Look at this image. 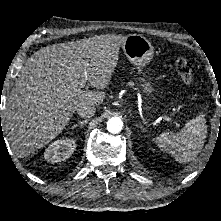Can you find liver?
Here are the masks:
<instances>
[{"instance_id": "6515ba94", "label": "liver", "mask_w": 221, "mask_h": 221, "mask_svg": "<svg viewBox=\"0 0 221 221\" xmlns=\"http://www.w3.org/2000/svg\"><path fill=\"white\" fill-rule=\"evenodd\" d=\"M126 38L105 34L53 44L25 62L9 97L3 126L16 156L27 157L45 147L82 105L102 104L105 93L100 90L108 86ZM84 70L89 85L97 90L80 87Z\"/></svg>"}]
</instances>
